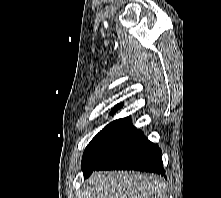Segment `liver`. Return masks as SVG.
<instances>
[{
	"mask_svg": "<svg viewBox=\"0 0 221 198\" xmlns=\"http://www.w3.org/2000/svg\"><path fill=\"white\" fill-rule=\"evenodd\" d=\"M91 198H167V186L153 174L133 171L95 172L89 178Z\"/></svg>",
	"mask_w": 221,
	"mask_h": 198,
	"instance_id": "liver-1",
	"label": "liver"
}]
</instances>
